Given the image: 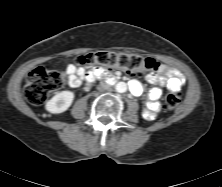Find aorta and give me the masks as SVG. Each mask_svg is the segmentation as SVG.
<instances>
[{
  "label": "aorta",
  "instance_id": "obj_1",
  "mask_svg": "<svg viewBox=\"0 0 222 187\" xmlns=\"http://www.w3.org/2000/svg\"><path fill=\"white\" fill-rule=\"evenodd\" d=\"M116 91L119 93H124L127 91V84L125 82H119L116 85Z\"/></svg>",
  "mask_w": 222,
  "mask_h": 187
}]
</instances>
